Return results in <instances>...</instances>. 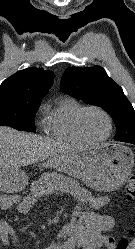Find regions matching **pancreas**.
<instances>
[{
	"label": "pancreas",
	"instance_id": "pancreas-1",
	"mask_svg": "<svg viewBox=\"0 0 135 249\" xmlns=\"http://www.w3.org/2000/svg\"><path fill=\"white\" fill-rule=\"evenodd\" d=\"M65 191L70 193V194H76V195L81 192L80 189L74 188V187H71V186H68V185L65 186Z\"/></svg>",
	"mask_w": 135,
	"mask_h": 249
}]
</instances>
